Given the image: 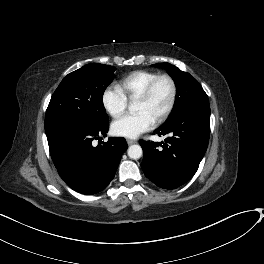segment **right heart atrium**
<instances>
[{
	"instance_id": "1",
	"label": "right heart atrium",
	"mask_w": 264,
	"mask_h": 264,
	"mask_svg": "<svg viewBox=\"0 0 264 264\" xmlns=\"http://www.w3.org/2000/svg\"><path fill=\"white\" fill-rule=\"evenodd\" d=\"M127 97L119 87H108L102 94V104L114 118L120 117L127 108Z\"/></svg>"
}]
</instances>
